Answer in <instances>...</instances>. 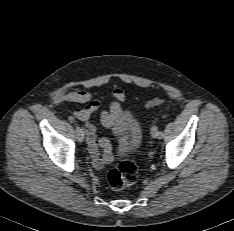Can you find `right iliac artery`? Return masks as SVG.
<instances>
[{
    "mask_svg": "<svg viewBox=\"0 0 234 231\" xmlns=\"http://www.w3.org/2000/svg\"><path fill=\"white\" fill-rule=\"evenodd\" d=\"M76 133H77V135L83 134V130L78 125H76Z\"/></svg>",
    "mask_w": 234,
    "mask_h": 231,
    "instance_id": "1",
    "label": "right iliac artery"
}]
</instances>
